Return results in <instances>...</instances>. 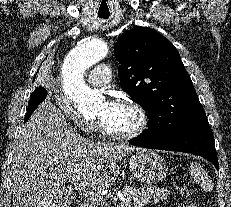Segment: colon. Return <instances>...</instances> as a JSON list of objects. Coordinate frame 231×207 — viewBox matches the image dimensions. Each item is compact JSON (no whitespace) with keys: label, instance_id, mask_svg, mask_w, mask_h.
Instances as JSON below:
<instances>
[{"label":"colon","instance_id":"colon-1","mask_svg":"<svg viewBox=\"0 0 231 207\" xmlns=\"http://www.w3.org/2000/svg\"><path fill=\"white\" fill-rule=\"evenodd\" d=\"M180 194L185 199L184 207H200V205L193 199V191L190 187H181Z\"/></svg>","mask_w":231,"mask_h":207}]
</instances>
